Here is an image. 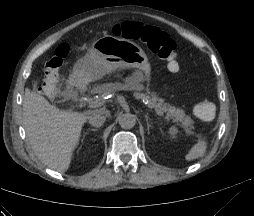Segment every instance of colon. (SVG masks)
Listing matches in <instances>:
<instances>
[{
	"instance_id": "colon-1",
	"label": "colon",
	"mask_w": 254,
	"mask_h": 216,
	"mask_svg": "<svg viewBox=\"0 0 254 216\" xmlns=\"http://www.w3.org/2000/svg\"><path fill=\"white\" fill-rule=\"evenodd\" d=\"M115 36H123L142 44L154 54L169 61L171 70L178 69L176 44L167 33L159 28L146 26L137 22H124L116 24L113 28ZM70 48L66 43L60 44L54 54L46 62L43 83L40 90L52 94L56 90L59 69L64 58L69 54ZM216 108L211 101H202L194 107V114L202 121H211L215 117Z\"/></svg>"
}]
</instances>
